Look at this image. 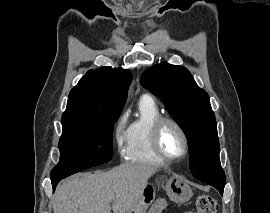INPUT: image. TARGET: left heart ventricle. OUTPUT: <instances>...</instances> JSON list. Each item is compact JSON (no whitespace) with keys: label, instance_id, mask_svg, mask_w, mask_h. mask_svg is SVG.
Masks as SVG:
<instances>
[{"label":"left heart ventricle","instance_id":"b2bd125f","mask_svg":"<svg viewBox=\"0 0 270 213\" xmlns=\"http://www.w3.org/2000/svg\"><path fill=\"white\" fill-rule=\"evenodd\" d=\"M161 148L170 157H179L184 151V141L173 125H166L161 133Z\"/></svg>","mask_w":270,"mask_h":213}]
</instances>
